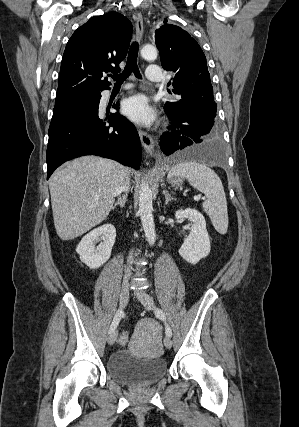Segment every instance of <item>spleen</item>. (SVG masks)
<instances>
[{
    "label": "spleen",
    "instance_id": "1",
    "mask_svg": "<svg viewBox=\"0 0 299 427\" xmlns=\"http://www.w3.org/2000/svg\"><path fill=\"white\" fill-rule=\"evenodd\" d=\"M169 176L185 177L190 185L206 196L202 207L215 230L224 235L228 229L227 200L218 175L207 165L195 161L180 162L173 166Z\"/></svg>",
    "mask_w": 299,
    "mask_h": 427
}]
</instances>
